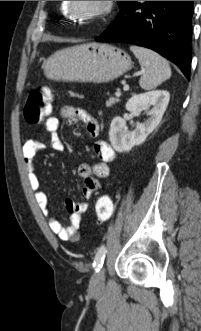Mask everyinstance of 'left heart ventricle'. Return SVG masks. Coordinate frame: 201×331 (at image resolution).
<instances>
[{"instance_id":"1","label":"left heart ventricle","mask_w":201,"mask_h":331,"mask_svg":"<svg viewBox=\"0 0 201 331\" xmlns=\"http://www.w3.org/2000/svg\"><path fill=\"white\" fill-rule=\"evenodd\" d=\"M76 11L81 15H89L96 12L100 1H74Z\"/></svg>"}]
</instances>
